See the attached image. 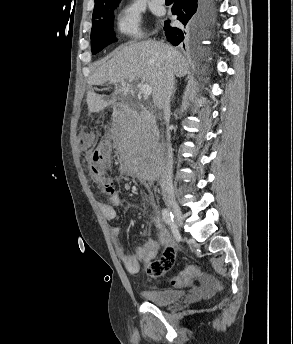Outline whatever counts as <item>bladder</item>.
Listing matches in <instances>:
<instances>
[{
	"mask_svg": "<svg viewBox=\"0 0 293 344\" xmlns=\"http://www.w3.org/2000/svg\"><path fill=\"white\" fill-rule=\"evenodd\" d=\"M143 294L149 302L161 306L178 302L184 297L183 291L173 288L149 289Z\"/></svg>",
	"mask_w": 293,
	"mask_h": 344,
	"instance_id": "31cf9c89",
	"label": "bladder"
}]
</instances>
